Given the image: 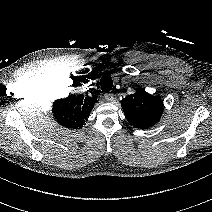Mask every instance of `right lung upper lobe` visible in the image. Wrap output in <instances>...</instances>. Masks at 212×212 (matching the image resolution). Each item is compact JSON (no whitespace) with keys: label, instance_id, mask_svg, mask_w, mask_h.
<instances>
[{"label":"right lung upper lobe","instance_id":"obj_1","mask_svg":"<svg viewBox=\"0 0 212 212\" xmlns=\"http://www.w3.org/2000/svg\"><path fill=\"white\" fill-rule=\"evenodd\" d=\"M97 97H83L81 95H71L66 99L57 100L53 106V116L57 122L69 129H79L83 127Z\"/></svg>","mask_w":212,"mask_h":212}]
</instances>
